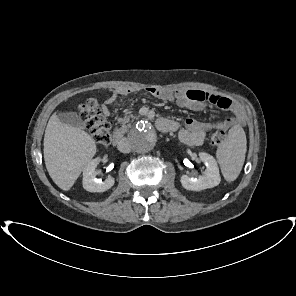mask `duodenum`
<instances>
[{
	"label": "duodenum",
	"instance_id": "duodenum-1",
	"mask_svg": "<svg viewBox=\"0 0 296 296\" xmlns=\"http://www.w3.org/2000/svg\"><path fill=\"white\" fill-rule=\"evenodd\" d=\"M157 126L161 131L168 132L173 131L176 128V124L167 119H159L157 121ZM112 142L114 145L118 146L121 151H127V144L124 142L123 133L120 129H116L112 136Z\"/></svg>",
	"mask_w": 296,
	"mask_h": 296
}]
</instances>
